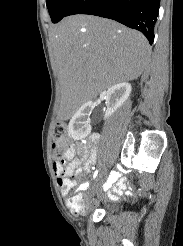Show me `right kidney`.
I'll return each instance as SVG.
<instances>
[{"mask_svg":"<svg viewBox=\"0 0 183 246\" xmlns=\"http://www.w3.org/2000/svg\"><path fill=\"white\" fill-rule=\"evenodd\" d=\"M132 87L127 82L113 85L106 92L107 110L105 118L110 117L130 96ZM93 109V103L83 104L74 114L69 123V132L75 139L84 138L89 133V115Z\"/></svg>","mask_w":183,"mask_h":246,"instance_id":"right-kidney-1","label":"right kidney"}]
</instances>
